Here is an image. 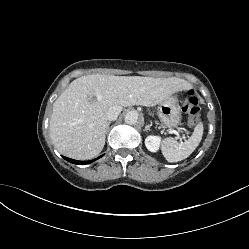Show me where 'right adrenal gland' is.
Listing matches in <instances>:
<instances>
[{
  "mask_svg": "<svg viewBox=\"0 0 249 249\" xmlns=\"http://www.w3.org/2000/svg\"><path fill=\"white\" fill-rule=\"evenodd\" d=\"M110 124H111V122H109L108 127H109Z\"/></svg>",
  "mask_w": 249,
  "mask_h": 249,
  "instance_id": "obj_1",
  "label": "right adrenal gland"
}]
</instances>
